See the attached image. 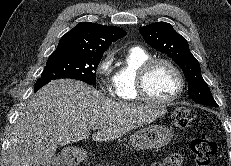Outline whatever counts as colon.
<instances>
[{
  "instance_id": "colon-1",
  "label": "colon",
  "mask_w": 231,
  "mask_h": 166,
  "mask_svg": "<svg viewBox=\"0 0 231 166\" xmlns=\"http://www.w3.org/2000/svg\"><path fill=\"white\" fill-rule=\"evenodd\" d=\"M173 119L179 128L187 127L196 117V111L190 107H177L173 110ZM194 155V166H211L216 154L217 145L214 139L208 135H199L191 142ZM182 157L179 154L168 156L159 166H181ZM52 166H61L54 164Z\"/></svg>"
}]
</instances>
